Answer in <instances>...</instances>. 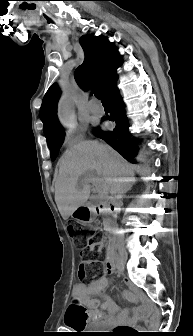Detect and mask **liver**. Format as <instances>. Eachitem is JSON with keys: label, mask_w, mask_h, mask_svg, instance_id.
<instances>
[{"label": "liver", "mask_w": 193, "mask_h": 336, "mask_svg": "<svg viewBox=\"0 0 193 336\" xmlns=\"http://www.w3.org/2000/svg\"><path fill=\"white\" fill-rule=\"evenodd\" d=\"M59 173L55 182V202L64 220L72 212L86 205L90 197V179L80 178L96 171L99 179L93 182L99 195L125 193L135 182L134 167L117 151L98 141H81L67 149L59 160Z\"/></svg>", "instance_id": "6515ba94"}]
</instances>
